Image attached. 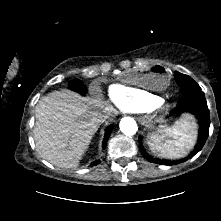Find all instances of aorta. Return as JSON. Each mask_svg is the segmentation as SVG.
Segmentation results:
<instances>
[{"mask_svg":"<svg viewBox=\"0 0 221 221\" xmlns=\"http://www.w3.org/2000/svg\"><path fill=\"white\" fill-rule=\"evenodd\" d=\"M119 127L121 132L128 136L134 135L138 130L136 121L131 117L122 118Z\"/></svg>","mask_w":221,"mask_h":221,"instance_id":"1","label":"aorta"}]
</instances>
